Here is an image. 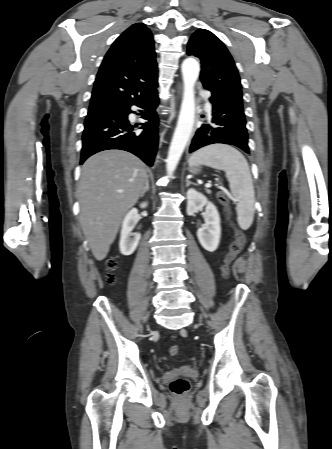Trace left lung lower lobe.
<instances>
[{"label": "left lung lower lobe", "instance_id": "obj_1", "mask_svg": "<svg viewBox=\"0 0 332 449\" xmlns=\"http://www.w3.org/2000/svg\"><path fill=\"white\" fill-rule=\"evenodd\" d=\"M209 101L212 104V118L196 130L189 153L215 143L234 145L250 153L243 107L215 95Z\"/></svg>", "mask_w": 332, "mask_h": 449}]
</instances>
